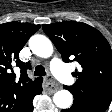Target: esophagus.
<instances>
[{"instance_id": "esophagus-1", "label": "esophagus", "mask_w": 112, "mask_h": 112, "mask_svg": "<svg viewBox=\"0 0 112 112\" xmlns=\"http://www.w3.org/2000/svg\"><path fill=\"white\" fill-rule=\"evenodd\" d=\"M44 89L49 92V93H54L58 90V85L56 82L53 80L51 76H47L44 78Z\"/></svg>"}]
</instances>
